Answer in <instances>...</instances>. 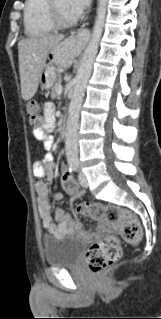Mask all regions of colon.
<instances>
[{
  "label": "colon",
  "instance_id": "1",
  "mask_svg": "<svg viewBox=\"0 0 161 319\" xmlns=\"http://www.w3.org/2000/svg\"><path fill=\"white\" fill-rule=\"evenodd\" d=\"M26 115L35 128L42 129L43 119L39 104L29 103L26 107ZM62 184L68 190L75 187L67 177H63ZM78 209L92 220H105L108 223L118 225L122 239L128 244H136L142 238L138 219L126 213L118 205L83 203L79 205ZM121 256L122 249L118 238L109 236L92 244L86 251L85 259L91 273L95 276H101L106 269L118 263Z\"/></svg>",
  "mask_w": 161,
  "mask_h": 319
}]
</instances>
